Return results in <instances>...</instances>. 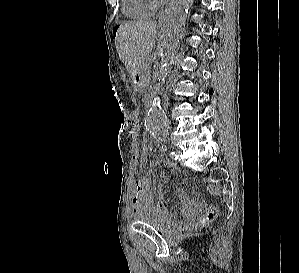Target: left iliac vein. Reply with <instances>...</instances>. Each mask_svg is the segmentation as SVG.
<instances>
[{
  "label": "left iliac vein",
  "instance_id": "4c4485c4",
  "mask_svg": "<svg viewBox=\"0 0 299 273\" xmlns=\"http://www.w3.org/2000/svg\"><path fill=\"white\" fill-rule=\"evenodd\" d=\"M180 153H181V150H180V149H177V150H176V154H177V155H180Z\"/></svg>",
  "mask_w": 299,
  "mask_h": 273
}]
</instances>
